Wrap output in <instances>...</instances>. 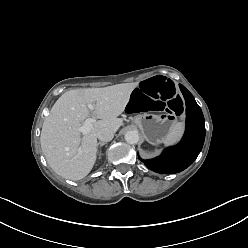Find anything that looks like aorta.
I'll list each match as a JSON object with an SVG mask.
<instances>
[{"mask_svg":"<svg viewBox=\"0 0 248 248\" xmlns=\"http://www.w3.org/2000/svg\"><path fill=\"white\" fill-rule=\"evenodd\" d=\"M125 140L129 144H137L139 141V134L137 131H128L125 134Z\"/></svg>","mask_w":248,"mask_h":248,"instance_id":"aorta-1","label":"aorta"}]
</instances>
